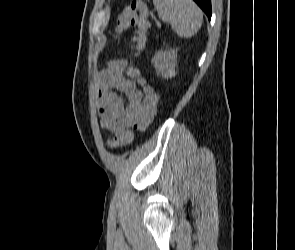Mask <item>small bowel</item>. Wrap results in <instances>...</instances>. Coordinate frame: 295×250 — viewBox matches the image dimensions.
<instances>
[{
  "mask_svg": "<svg viewBox=\"0 0 295 250\" xmlns=\"http://www.w3.org/2000/svg\"><path fill=\"white\" fill-rule=\"evenodd\" d=\"M127 61H110L101 72L98 93V111L101 127L114 134L113 140L121 147L133 141V128H137L144 113L143 93L135 81L125 75ZM123 96L126 97L125 104Z\"/></svg>",
  "mask_w": 295,
  "mask_h": 250,
  "instance_id": "1",
  "label": "small bowel"
}]
</instances>
